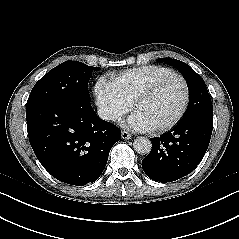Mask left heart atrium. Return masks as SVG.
<instances>
[{
    "instance_id": "left-heart-atrium-1",
    "label": "left heart atrium",
    "mask_w": 239,
    "mask_h": 239,
    "mask_svg": "<svg viewBox=\"0 0 239 239\" xmlns=\"http://www.w3.org/2000/svg\"><path fill=\"white\" fill-rule=\"evenodd\" d=\"M124 125L125 127L137 132H145L151 129L150 125L135 112L128 117Z\"/></svg>"
}]
</instances>
